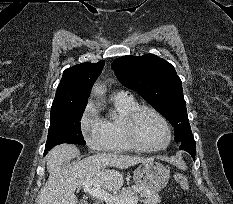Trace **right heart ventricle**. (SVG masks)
I'll return each instance as SVG.
<instances>
[{
	"mask_svg": "<svg viewBox=\"0 0 233 204\" xmlns=\"http://www.w3.org/2000/svg\"><path fill=\"white\" fill-rule=\"evenodd\" d=\"M138 106V102L130 95L116 94L113 96L112 110L102 119L106 150L114 152L133 150L125 135L124 121L126 116Z\"/></svg>",
	"mask_w": 233,
	"mask_h": 204,
	"instance_id": "obj_1",
	"label": "right heart ventricle"
}]
</instances>
